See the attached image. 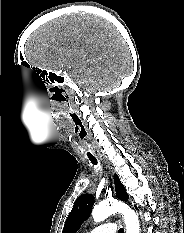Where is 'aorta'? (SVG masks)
<instances>
[{
  "instance_id": "762f6f07",
  "label": "aorta",
  "mask_w": 184,
  "mask_h": 233,
  "mask_svg": "<svg viewBox=\"0 0 184 233\" xmlns=\"http://www.w3.org/2000/svg\"><path fill=\"white\" fill-rule=\"evenodd\" d=\"M116 212H119L124 216L126 233H140L138 216L127 204L120 201L101 202L94 207L92 217L95 222H101Z\"/></svg>"
}]
</instances>
